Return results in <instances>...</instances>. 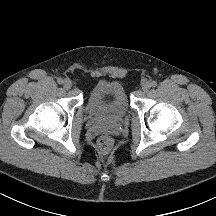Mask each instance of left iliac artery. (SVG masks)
Returning <instances> with one entry per match:
<instances>
[{
    "instance_id": "44dca946",
    "label": "left iliac artery",
    "mask_w": 216,
    "mask_h": 216,
    "mask_svg": "<svg viewBox=\"0 0 216 216\" xmlns=\"http://www.w3.org/2000/svg\"><path fill=\"white\" fill-rule=\"evenodd\" d=\"M151 86H152V87H156V86H157V82H156V81H152V82H151Z\"/></svg>"
}]
</instances>
